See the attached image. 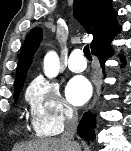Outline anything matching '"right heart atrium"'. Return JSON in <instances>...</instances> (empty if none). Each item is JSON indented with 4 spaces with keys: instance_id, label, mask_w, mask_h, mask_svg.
I'll return each instance as SVG.
<instances>
[{
    "instance_id": "right-heart-atrium-1",
    "label": "right heart atrium",
    "mask_w": 131,
    "mask_h": 151,
    "mask_svg": "<svg viewBox=\"0 0 131 151\" xmlns=\"http://www.w3.org/2000/svg\"><path fill=\"white\" fill-rule=\"evenodd\" d=\"M26 98L30 105L32 126L40 136L59 134L75 116L74 109L62 96L59 85L43 77L31 82Z\"/></svg>"
}]
</instances>
